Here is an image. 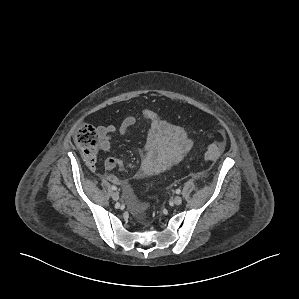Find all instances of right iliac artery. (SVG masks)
I'll return each instance as SVG.
<instances>
[{"instance_id":"1","label":"right iliac artery","mask_w":299,"mask_h":299,"mask_svg":"<svg viewBox=\"0 0 299 299\" xmlns=\"http://www.w3.org/2000/svg\"><path fill=\"white\" fill-rule=\"evenodd\" d=\"M111 189H112V190H117V187H116L115 185H112V186H111Z\"/></svg>"}]
</instances>
